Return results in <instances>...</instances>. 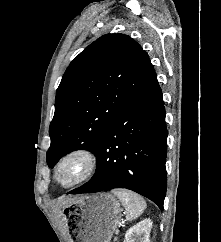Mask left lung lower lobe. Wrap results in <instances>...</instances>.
<instances>
[{
    "instance_id": "1",
    "label": "left lung lower lobe",
    "mask_w": 221,
    "mask_h": 242,
    "mask_svg": "<svg viewBox=\"0 0 221 242\" xmlns=\"http://www.w3.org/2000/svg\"><path fill=\"white\" fill-rule=\"evenodd\" d=\"M167 136L162 92L155 79L105 131L95 154V175L69 193L126 188L149 198L163 210Z\"/></svg>"
}]
</instances>
